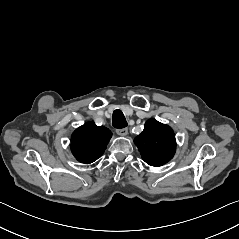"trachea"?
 Returning <instances> with one entry per match:
<instances>
[{
    "label": "trachea",
    "mask_w": 239,
    "mask_h": 239,
    "mask_svg": "<svg viewBox=\"0 0 239 239\" xmlns=\"http://www.w3.org/2000/svg\"><path fill=\"white\" fill-rule=\"evenodd\" d=\"M112 125L115 128H125L128 125L121 110L117 109L113 112Z\"/></svg>",
    "instance_id": "3493384b"
}]
</instances>
